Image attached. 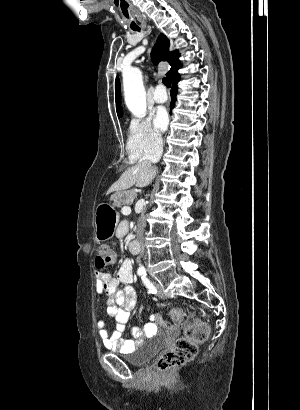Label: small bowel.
<instances>
[{"instance_id": "small-bowel-1", "label": "small bowel", "mask_w": 300, "mask_h": 410, "mask_svg": "<svg viewBox=\"0 0 300 410\" xmlns=\"http://www.w3.org/2000/svg\"><path fill=\"white\" fill-rule=\"evenodd\" d=\"M133 268L129 260L120 266L116 276L109 273H96V293L99 297L106 295L107 313L115 320V330L110 332L103 321L98 323V334L106 348L129 352L143 344L147 339L155 336L164 323L160 316L153 314L150 322L142 328L131 329L132 338H124L123 332L130 313L137 303V295L132 287Z\"/></svg>"}]
</instances>
